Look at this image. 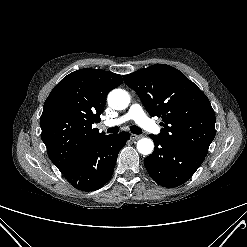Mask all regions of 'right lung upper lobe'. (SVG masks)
Returning a JSON list of instances; mask_svg holds the SVG:
<instances>
[{"instance_id":"cb5924a9","label":"right lung upper lobe","mask_w":247,"mask_h":247,"mask_svg":"<svg viewBox=\"0 0 247 247\" xmlns=\"http://www.w3.org/2000/svg\"><path fill=\"white\" fill-rule=\"evenodd\" d=\"M122 83L119 74L84 68L70 73L53 88L40 119L41 139L60 171L105 136L92 124L100 122L107 94Z\"/></svg>"}]
</instances>
